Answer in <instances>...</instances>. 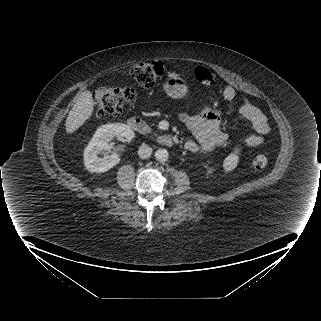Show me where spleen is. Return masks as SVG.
<instances>
[{
    "label": "spleen",
    "instance_id": "spleen-1",
    "mask_svg": "<svg viewBox=\"0 0 321 321\" xmlns=\"http://www.w3.org/2000/svg\"><path fill=\"white\" fill-rule=\"evenodd\" d=\"M238 151L235 150L234 153H231L228 157H226L224 161V168L229 171L233 169L238 161V156H237Z\"/></svg>",
    "mask_w": 321,
    "mask_h": 321
}]
</instances>
